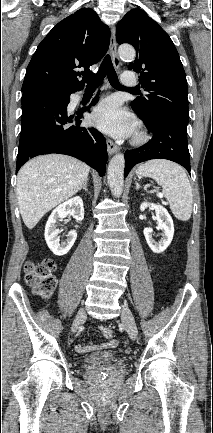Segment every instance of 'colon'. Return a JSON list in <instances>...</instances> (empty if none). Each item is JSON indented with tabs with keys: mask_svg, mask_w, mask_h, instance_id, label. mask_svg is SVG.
<instances>
[{
	"mask_svg": "<svg viewBox=\"0 0 213 433\" xmlns=\"http://www.w3.org/2000/svg\"><path fill=\"white\" fill-rule=\"evenodd\" d=\"M55 263L51 259H44L40 262H27L25 264V280L28 285L40 297L47 299L54 292L57 281L54 275ZM102 334L106 339L111 340L114 332L109 327H102Z\"/></svg>",
	"mask_w": 213,
	"mask_h": 433,
	"instance_id": "colon-1",
	"label": "colon"
}]
</instances>
